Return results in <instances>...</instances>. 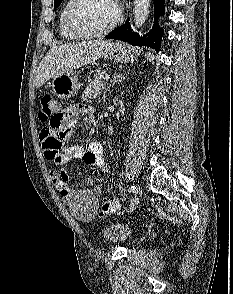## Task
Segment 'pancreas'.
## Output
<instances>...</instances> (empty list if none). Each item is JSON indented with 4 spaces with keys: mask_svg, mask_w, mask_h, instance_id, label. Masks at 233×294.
<instances>
[{
    "mask_svg": "<svg viewBox=\"0 0 233 294\" xmlns=\"http://www.w3.org/2000/svg\"><path fill=\"white\" fill-rule=\"evenodd\" d=\"M105 73H99L96 77L88 84L85 91L83 92V99L90 100L100 95L101 90L105 88L104 82Z\"/></svg>",
    "mask_w": 233,
    "mask_h": 294,
    "instance_id": "1",
    "label": "pancreas"
}]
</instances>
